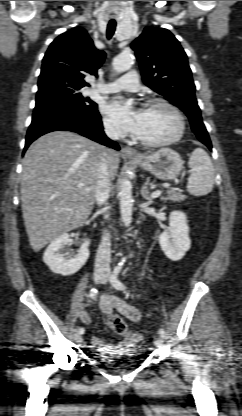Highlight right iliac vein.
I'll use <instances>...</instances> for the list:
<instances>
[{
  "label": "right iliac vein",
  "instance_id": "right-iliac-vein-1",
  "mask_svg": "<svg viewBox=\"0 0 242 416\" xmlns=\"http://www.w3.org/2000/svg\"><path fill=\"white\" fill-rule=\"evenodd\" d=\"M104 270L103 269H96L94 272V280L96 283L100 282L104 278ZM74 339L77 343H81L83 341V337L81 333L78 331L74 334Z\"/></svg>",
  "mask_w": 242,
  "mask_h": 416
}]
</instances>
